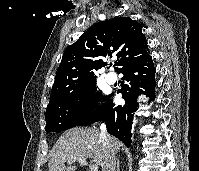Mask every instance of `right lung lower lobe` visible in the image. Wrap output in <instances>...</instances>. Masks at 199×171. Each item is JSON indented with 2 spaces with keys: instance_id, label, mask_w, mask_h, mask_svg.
<instances>
[{
  "instance_id": "obj_1",
  "label": "right lung lower lobe",
  "mask_w": 199,
  "mask_h": 171,
  "mask_svg": "<svg viewBox=\"0 0 199 171\" xmlns=\"http://www.w3.org/2000/svg\"><path fill=\"white\" fill-rule=\"evenodd\" d=\"M155 72L156 69L150 55L120 71L127 82L118 91L122 93L125 105L116 106L110 99L111 95L106 96L103 105L89 113L76 125H89L97 121H104L107 131L129 147L133 116L139 107L138 97L144 94L150 97V101L155 98Z\"/></svg>"
}]
</instances>
